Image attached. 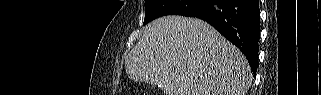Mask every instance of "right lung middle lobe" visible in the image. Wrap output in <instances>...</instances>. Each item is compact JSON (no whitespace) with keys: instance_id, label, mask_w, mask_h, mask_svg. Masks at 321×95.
<instances>
[{"instance_id":"dd1d6c3e","label":"right lung middle lobe","mask_w":321,"mask_h":95,"mask_svg":"<svg viewBox=\"0 0 321 95\" xmlns=\"http://www.w3.org/2000/svg\"><path fill=\"white\" fill-rule=\"evenodd\" d=\"M207 0H145L144 25L165 15L189 16Z\"/></svg>"}]
</instances>
